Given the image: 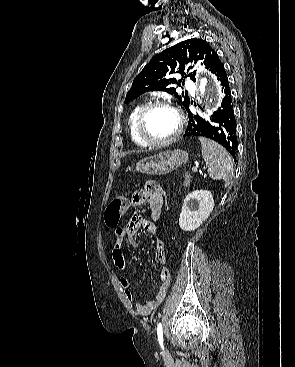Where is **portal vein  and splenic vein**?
I'll use <instances>...</instances> for the list:
<instances>
[{
    "instance_id": "obj_1",
    "label": "portal vein and splenic vein",
    "mask_w": 295,
    "mask_h": 367,
    "mask_svg": "<svg viewBox=\"0 0 295 367\" xmlns=\"http://www.w3.org/2000/svg\"><path fill=\"white\" fill-rule=\"evenodd\" d=\"M192 171H193L194 173H196V172H198V169H197L196 167H193V168H192Z\"/></svg>"
}]
</instances>
